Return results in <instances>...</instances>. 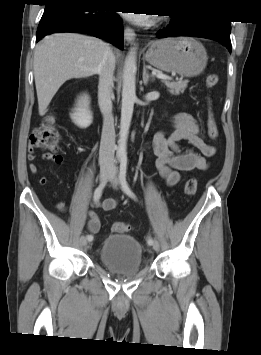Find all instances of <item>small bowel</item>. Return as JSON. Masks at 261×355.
Here are the masks:
<instances>
[{
    "label": "small bowel",
    "mask_w": 261,
    "mask_h": 355,
    "mask_svg": "<svg viewBox=\"0 0 261 355\" xmlns=\"http://www.w3.org/2000/svg\"><path fill=\"white\" fill-rule=\"evenodd\" d=\"M180 141H187L194 149H182L179 146ZM151 148L156 157L158 173L169 186L179 184L181 173L191 170H207L210 166L207 158L216 154V148L206 143L195 118L186 112L178 113L173 117L169 132L161 130L154 135ZM45 158L57 163L62 162V157L57 155H46ZM28 159H35L32 147L29 148ZM29 170L32 174H37L38 165L31 163ZM40 183L46 184L47 178L42 177ZM117 202V199L109 198L104 201H94V206L110 211L117 206ZM87 216L89 231L97 233L101 227L99 217L94 211H88Z\"/></svg>",
    "instance_id": "obj_1"
}]
</instances>
